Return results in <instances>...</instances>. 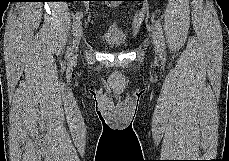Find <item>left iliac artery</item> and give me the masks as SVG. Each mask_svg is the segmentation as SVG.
<instances>
[{
  "label": "left iliac artery",
  "instance_id": "left-iliac-artery-1",
  "mask_svg": "<svg viewBox=\"0 0 229 161\" xmlns=\"http://www.w3.org/2000/svg\"><path fill=\"white\" fill-rule=\"evenodd\" d=\"M155 29L158 35L159 43H160V49H161V56L165 58V41H164V36H163V31L161 24L159 20L155 21Z\"/></svg>",
  "mask_w": 229,
  "mask_h": 161
}]
</instances>
